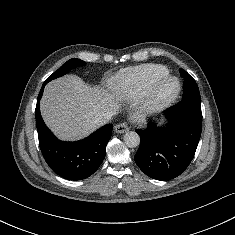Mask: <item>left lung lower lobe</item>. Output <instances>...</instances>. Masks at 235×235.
<instances>
[{
    "label": "left lung lower lobe",
    "mask_w": 235,
    "mask_h": 235,
    "mask_svg": "<svg viewBox=\"0 0 235 235\" xmlns=\"http://www.w3.org/2000/svg\"><path fill=\"white\" fill-rule=\"evenodd\" d=\"M192 93V84L184 79L182 100L164 112L167 126L157 127L149 121L146 129H136L141 143L134 160L153 179L177 177L194 157L202 131V113L201 98H194Z\"/></svg>",
    "instance_id": "obj_1"
}]
</instances>
